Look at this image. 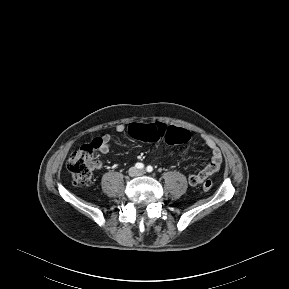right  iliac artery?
Segmentation results:
<instances>
[{
    "label": "right iliac artery",
    "mask_w": 289,
    "mask_h": 289,
    "mask_svg": "<svg viewBox=\"0 0 289 289\" xmlns=\"http://www.w3.org/2000/svg\"><path fill=\"white\" fill-rule=\"evenodd\" d=\"M135 167H136L137 169H143V168H144V164L138 162V163L135 164Z\"/></svg>",
    "instance_id": "right-iliac-artery-1"
}]
</instances>
